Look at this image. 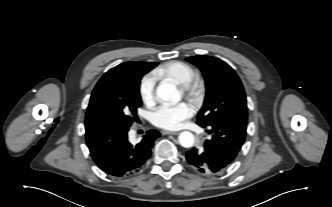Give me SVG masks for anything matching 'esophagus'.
<instances>
[{"label":"esophagus","mask_w":332,"mask_h":207,"mask_svg":"<svg viewBox=\"0 0 332 207\" xmlns=\"http://www.w3.org/2000/svg\"><path fill=\"white\" fill-rule=\"evenodd\" d=\"M161 133L162 135H176L178 132L162 130Z\"/></svg>","instance_id":"obj_1"}]
</instances>
